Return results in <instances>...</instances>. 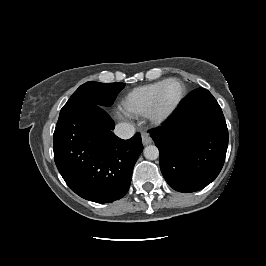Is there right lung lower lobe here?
<instances>
[{"label": "right lung lower lobe", "mask_w": 266, "mask_h": 266, "mask_svg": "<svg viewBox=\"0 0 266 266\" xmlns=\"http://www.w3.org/2000/svg\"><path fill=\"white\" fill-rule=\"evenodd\" d=\"M114 121L96 104L79 107L54 131V160L66 184L80 197L97 203L122 198L143 150L141 136L118 138Z\"/></svg>", "instance_id": "1"}]
</instances>
